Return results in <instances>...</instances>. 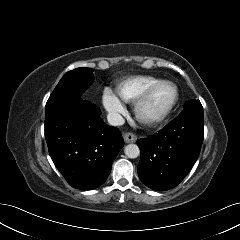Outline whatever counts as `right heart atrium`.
<instances>
[{"label": "right heart atrium", "mask_w": 240, "mask_h": 240, "mask_svg": "<svg viewBox=\"0 0 240 240\" xmlns=\"http://www.w3.org/2000/svg\"><path fill=\"white\" fill-rule=\"evenodd\" d=\"M102 103L105 110L114 121H118L126 112L124 102L109 88H105L103 91Z\"/></svg>", "instance_id": "obj_1"}]
</instances>
